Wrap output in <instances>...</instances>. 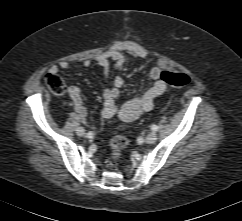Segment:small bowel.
<instances>
[{
    "label": "small bowel",
    "instance_id": "c3829d8e",
    "mask_svg": "<svg viewBox=\"0 0 242 221\" xmlns=\"http://www.w3.org/2000/svg\"><path fill=\"white\" fill-rule=\"evenodd\" d=\"M125 53L133 54L139 58H146L148 56L147 50L138 43L131 41H123L116 44L107 52L99 55L96 59L98 65L103 71L104 77L107 79L110 74L111 64L114 63L116 69H121L125 64ZM91 65L89 59H85L80 63V67L87 68ZM71 65L67 61H61L58 65L50 68L51 73H57L60 69L68 70ZM161 70L158 67H151L148 75L152 80V85L141 95L117 104V98L120 94V89L124 84L121 76H116L113 79V85L103 92V109L102 117L110 119L114 116L122 121L130 122L138 119L144 113L150 111L154 106V100L158 96L168 91V86L160 79ZM69 95L73 101L75 110L84 123H89L87 110L83 104L81 90L78 86H71L69 88Z\"/></svg>",
    "mask_w": 242,
    "mask_h": 221
}]
</instances>
